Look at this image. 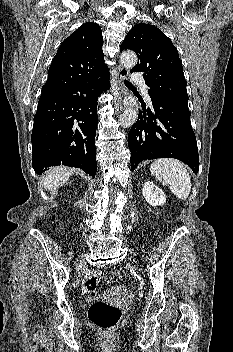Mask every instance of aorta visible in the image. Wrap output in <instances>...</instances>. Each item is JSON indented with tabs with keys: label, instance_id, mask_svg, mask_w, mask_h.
Wrapping results in <instances>:
<instances>
[{
	"label": "aorta",
	"instance_id": "obj_1",
	"mask_svg": "<svg viewBox=\"0 0 233 352\" xmlns=\"http://www.w3.org/2000/svg\"><path fill=\"white\" fill-rule=\"evenodd\" d=\"M121 64L126 68H132L137 63V56L133 51H126L121 54ZM138 114L135 109L125 110L119 118L122 127H131L137 120Z\"/></svg>",
	"mask_w": 233,
	"mask_h": 352
}]
</instances>
